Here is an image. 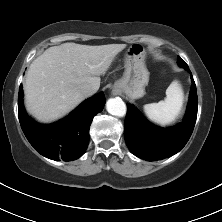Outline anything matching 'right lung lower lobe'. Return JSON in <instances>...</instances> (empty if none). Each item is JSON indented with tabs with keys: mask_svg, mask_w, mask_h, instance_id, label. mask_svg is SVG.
Segmentation results:
<instances>
[{
	"mask_svg": "<svg viewBox=\"0 0 222 222\" xmlns=\"http://www.w3.org/2000/svg\"><path fill=\"white\" fill-rule=\"evenodd\" d=\"M105 97L100 93L84 101L66 118L50 125H40L25 112L22 85L19 88L18 116L21 128L34 149L52 160L72 161L81 157L89 143L93 117L102 111Z\"/></svg>",
	"mask_w": 222,
	"mask_h": 222,
	"instance_id": "right-lung-lower-lobe-1",
	"label": "right lung lower lobe"
}]
</instances>
